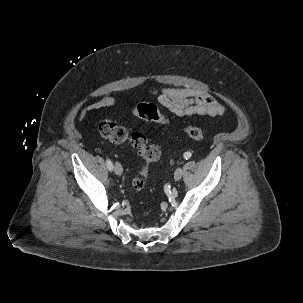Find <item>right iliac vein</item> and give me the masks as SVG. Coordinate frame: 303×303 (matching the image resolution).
Returning <instances> with one entry per match:
<instances>
[{"label": "right iliac vein", "instance_id": "right-iliac-vein-1", "mask_svg": "<svg viewBox=\"0 0 303 303\" xmlns=\"http://www.w3.org/2000/svg\"><path fill=\"white\" fill-rule=\"evenodd\" d=\"M114 172L117 174V175H121L123 173V168L121 166L120 163L116 162L115 165H114Z\"/></svg>", "mask_w": 303, "mask_h": 303}]
</instances>
